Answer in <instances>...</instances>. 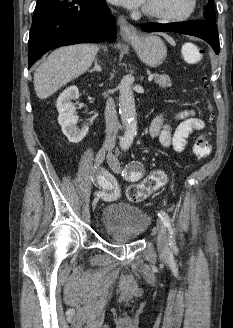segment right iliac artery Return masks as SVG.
Here are the masks:
<instances>
[{
  "instance_id": "1",
  "label": "right iliac artery",
  "mask_w": 233,
  "mask_h": 328,
  "mask_svg": "<svg viewBox=\"0 0 233 328\" xmlns=\"http://www.w3.org/2000/svg\"><path fill=\"white\" fill-rule=\"evenodd\" d=\"M98 184L102 187V191L97 192V196L105 201L116 200L120 195L117 182L107 172H103L98 177Z\"/></svg>"
}]
</instances>
